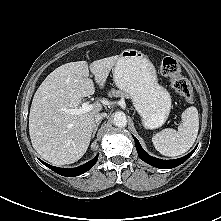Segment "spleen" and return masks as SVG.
Listing matches in <instances>:
<instances>
[{"label": "spleen", "mask_w": 221, "mask_h": 221, "mask_svg": "<svg viewBox=\"0 0 221 221\" xmlns=\"http://www.w3.org/2000/svg\"><path fill=\"white\" fill-rule=\"evenodd\" d=\"M199 130L196 107H188L181 115L178 130L166 128L152 137L155 149L164 156L176 157L187 152L194 144Z\"/></svg>", "instance_id": "spleen-1"}]
</instances>
